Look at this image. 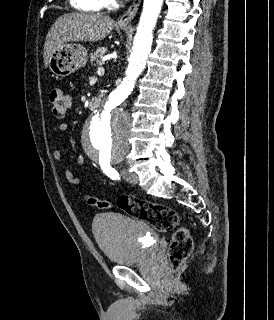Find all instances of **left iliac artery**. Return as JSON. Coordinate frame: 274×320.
Returning a JSON list of instances; mask_svg holds the SVG:
<instances>
[{
  "instance_id": "left-iliac-artery-1",
  "label": "left iliac artery",
  "mask_w": 274,
  "mask_h": 320,
  "mask_svg": "<svg viewBox=\"0 0 274 320\" xmlns=\"http://www.w3.org/2000/svg\"><path fill=\"white\" fill-rule=\"evenodd\" d=\"M100 166L103 170V172L113 180H120L119 173L110 165V162L108 161H100Z\"/></svg>"
}]
</instances>
